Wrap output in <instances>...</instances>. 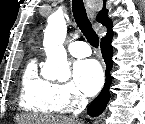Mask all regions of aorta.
Here are the masks:
<instances>
[{"mask_svg": "<svg viewBox=\"0 0 145 124\" xmlns=\"http://www.w3.org/2000/svg\"><path fill=\"white\" fill-rule=\"evenodd\" d=\"M67 26L63 14H52L44 32L43 46L47 60L42 68V76L47 80L66 82L71 72L63 43Z\"/></svg>", "mask_w": 145, "mask_h": 124, "instance_id": "obj_1", "label": "aorta"}]
</instances>
